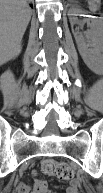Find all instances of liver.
Wrapping results in <instances>:
<instances>
[{"label":"liver","instance_id":"obj_1","mask_svg":"<svg viewBox=\"0 0 103 193\" xmlns=\"http://www.w3.org/2000/svg\"><path fill=\"white\" fill-rule=\"evenodd\" d=\"M30 18L31 10L26 0H1V64L21 53V41Z\"/></svg>","mask_w":103,"mask_h":193}]
</instances>
